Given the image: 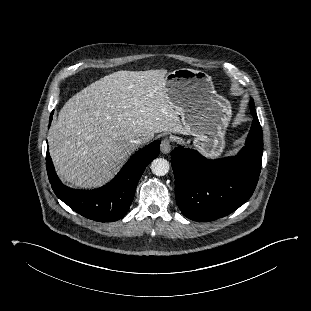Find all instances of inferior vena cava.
<instances>
[{"instance_id": "obj_1", "label": "inferior vena cava", "mask_w": 311, "mask_h": 311, "mask_svg": "<svg viewBox=\"0 0 311 311\" xmlns=\"http://www.w3.org/2000/svg\"><path fill=\"white\" fill-rule=\"evenodd\" d=\"M146 139L147 138L145 137H136V138L131 139V142L135 145H138V144L145 142Z\"/></svg>"}]
</instances>
